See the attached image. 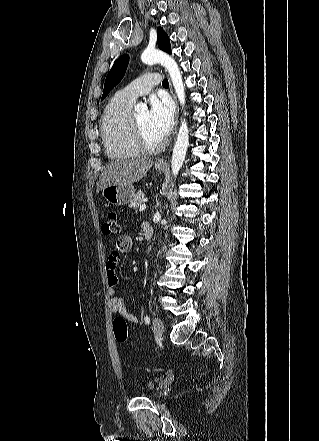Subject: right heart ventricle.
Masks as SVG:
<instances>
[{
  "label": "right heart ventricle",
  "mask_w": 319,
  "mask_h": 441,
  "mask_svg": "<svg viewBox=\"0 0 319 441\" xmlns=\"http://www.w3.org/2000/svg\"><path fill=\"white\" fill-rule=\"evenodd\" d=\"M133 105V101L117 94L105 108L100 133L106 154L111 159L133 158L140 154L132 134Z\"/></svg>",
  "instance_id": "right-heart-ventricle-1"
}]
</instances>
